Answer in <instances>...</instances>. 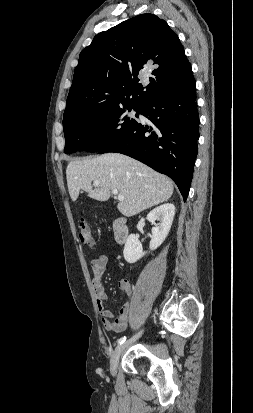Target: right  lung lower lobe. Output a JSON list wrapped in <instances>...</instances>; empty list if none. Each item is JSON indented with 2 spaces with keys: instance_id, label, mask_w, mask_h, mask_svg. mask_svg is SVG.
Wrapping results in <instances>:
<instances>
[{
  "instance_id": "1",
  "label": "right lung lower lobe",
  "mask_w": 253,
  "mask_h": 413,
  "mask_svg": "<svg viewBox=\"0 0 253 413\" xmlns=\"http://www.w3.org/2000/svg\"><path fill=\"white\" fill-rule=\"evenodd\" d=\"M196 83L191 74L184 84L144 101L138 111L152 126L137 123L128 133L98 154L128 155L165 174L186 200L199 139Z\"/></svg>"
}]
</instances>
